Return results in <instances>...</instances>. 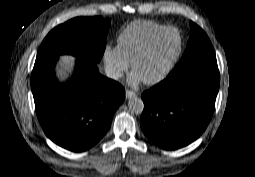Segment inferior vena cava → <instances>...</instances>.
<instances>
[{
  "label": "inferior vena cava",
  "mask_w": 255,
  "mask_h": 177,
  "mask_svg": "<svg viewBox=\"0 0 255 177\" xmlns=\"http://www.w3.org/2000/svg\"><path fill=\"white\" fill-rule=\"evenodd\" d=\"M105 74L108 78H111L114 80H118L122 77L121 71L112 67H106Z\"/></svg>",
  "instance_id": "1"
}]
</instances>
